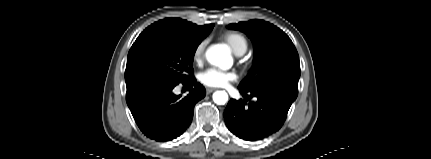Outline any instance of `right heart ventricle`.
<instances>
[{
  "label": "right heart ventricle",
  "mask_w": 431,
  "mask_h": 159,
  "mask_svg": "<svg viewBox=\"0 0 431 159\" xmlns=\"http://www.w3.org/2000/svg\"><path fill=\"white\" fill-rule=\"evenodd\" d=\"M223 40L230 46L237 55H242L248 48L247 39L240 33L228 32L223 35Z\"/></svg>",
  "instance_id": "right-heart-ventricle-1"
}]
</instances>
